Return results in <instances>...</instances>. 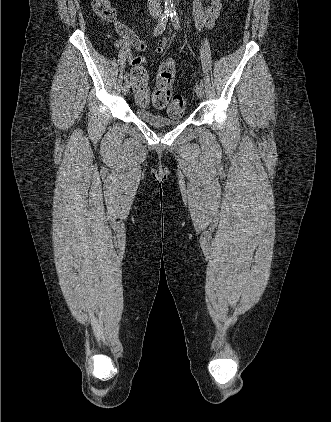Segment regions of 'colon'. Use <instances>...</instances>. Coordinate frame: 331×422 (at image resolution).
<instances>
[{"instance_id": "obj_1", "label": "colon", "mask_w": 331, "mask_h": 422, "mask_svg": "<svg viewBox=\"0 0 331 422\" xmlns=\"http://www.w3.org/2000/svg\"><path fill=\"white\" fill-rule=\"evenodd\" d=\"M93 7L98 16L104 21H116L117 11L110 0H93ZM176 72V65L173 60L164 61L158 70L156 88L152 95L153 105L157 108L167 107L168 114L180 116L186 108L185 99L178 93H172V84ZM132 77L145 81L148 79V72L142 66H135L132 70ZM149 97L141 92L140 100L145 103Z\"/></svg>"}]
</instances>
